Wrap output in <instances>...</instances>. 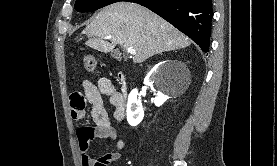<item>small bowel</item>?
<instances>
[{
    "instance_id": "c3829d8e",
    "label": "small bowel",
    "mask_w": 277,
    "mask_h": 166,
    "mask_svg": "<svg viewBox=\"0 0 277 166\" xmlns=\"http://www.w3.org/2000/svg\"><path fill=\"white\" fill-rule=\"evenodd\" d=\"M83 92H73L69 96L71 117L80 121L85 117V105L91 104V116L94 126H84L78 129L77 139L81 156L82 166H111L121 157L120 150L125 146L124 140L118 135L112 125L108 112L104 107L103 96L109 98L115 107L114 117L117 121L122 120L124 113L120 109L119 92L107 78H99L94 84L89 80L82 82ZM96 139H107L114 142L116 151L108 152L94 159L89 154L90 144Z\"/></svg>"
}]
</instances>
